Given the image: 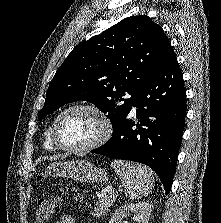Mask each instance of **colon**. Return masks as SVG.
Instances as JSON below:
<instances>
[{"mask_svg":"<svg viewBox=\"0 0 221 223\" xmlns=\"http://www.w3.org/2000/svg\"><path fill=\"white\" fill-rule=\"evenodd\" d=\"M69 188H62L60 193L55 195H50L47 198H43L38 201L36 209V222L37 223H47L54 215L55 209L61 200V195L67 193ZM78 196H81V192H77Z\"/></svg>","mask_w":221,"mask_h":223,"instance_id":"obj_1","label":"colon"}]
</instances>
